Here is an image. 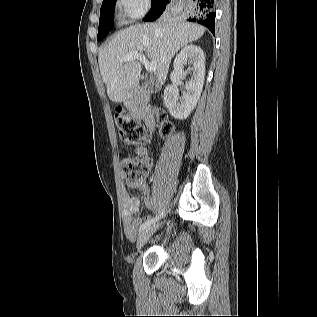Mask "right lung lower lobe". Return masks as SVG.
<instances>
[{
	"mask_svg": "<svg viewBox=\"0 0 317 317\" xmlns=\"http://www.w3.org/2000/svg\"><path fill=\"white\" fill-rule=\"evenodd\" d=\"M191 16L189 21L200 23L206 26L215 35V12L214 0H190ZM170 0H161L155 4L146 15V21L156 20L161 16Z\"/></svg>",
	"mask_w": 317,
	"mask_h": 317,
	"instance_id": "1",
	"label": "right lung lower lobe"
}]
</instances>
